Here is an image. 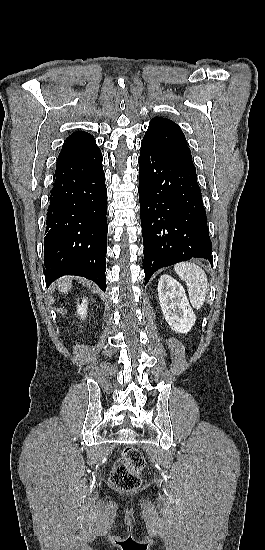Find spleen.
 <instances>
[{
  "label": "spleen",
  "instance_id": "1",
  "mask_svg": "<svg viewBox=\"0 0 265 550\" xmlns=\"http://www.w3.org/2000/svg\"><path fill=\"white\" fill-rule=\"evenodd\" d=\"M177 275L188 288L189 299L195 309H200L208 291V280L204 270L194 263L184 262L174 266Z\"/></svg>",
  "mask_w": 265,
  "mask_h": 550
}]
</instances>
